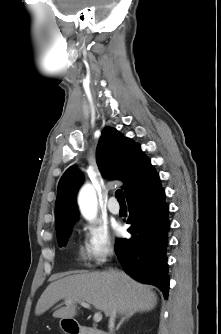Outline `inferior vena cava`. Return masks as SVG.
<instances>
[{
  "label": "inferior vena cava",
  "mask_w": 221,
  "mask_h": 334,
  "mask_svg": "<svg viewBox=\"0 0 221 334\" xmlns=\"http://www.w3.org/2000/svg\"><path fill=\"white\" fill-rule=\"evenodd\" d=\"M114 318H115V312H113V314L110 317V321H109V328L111 331L114 329Z\"/></svg>",
  "instance_id": "1"
}]
</instances>
